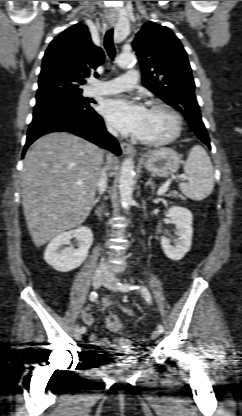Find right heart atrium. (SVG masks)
Instances as JSON below:
<instances>
[{
  "mask_svg": "<svg viewBox=\"0 0 242 416\" xmlns=\"http://www.w3.org/2000/svg\"><path fill=\"white\" fill-rule=\"evenodd\" d=\"M108 129L110 132L114 133V130L110 126L108 127Z\"/></svg>",
  "mask_w": 242,
  "mask_h": 416,
  "instance_id": "d8ad5b80",
  "label": "right heart atrium"
}]
</instances>
